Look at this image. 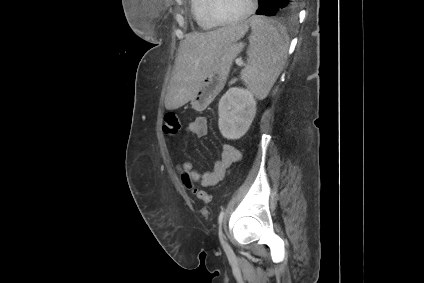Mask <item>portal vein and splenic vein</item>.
I'll return each mask as SVG.
<instances>
[{
  "label": "portal vein and splenic vein",
  "mask_w": 424,
  "mask_h": 283,
  "mask_svg": "<svg viewBox=\"0 0 424 283\" xmlns=\"http://www.w3.org/2000/svg\"><path fill=\"white\" fill-rule=\"evenodd\" d=\"M236 64H237V66H239V67L244 66V63H243V61H242L241 59H237V60H236Z\"/></svg>",
  "instance_id": "portal-vein-and-splenic-vein-1"
}]
</instances>
